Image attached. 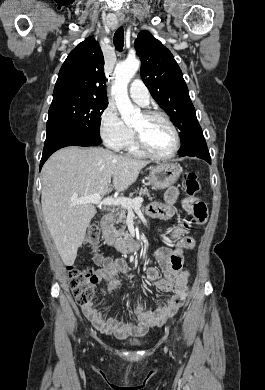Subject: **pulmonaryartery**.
I'll list each match as a JSON object with an SVG mask.
<instances>
[{
  "mask_svg": "<svg viewBox=\"0 0 265 390\" xmlns=\"http://www.w3.org/2000/svg\"><path fill=\"white\" fill-rule=\"evenodd\" d=\"M130 97L141 106H147L150 101V94L145 84L140 79H134L129 88Z\"/></svg>",
  "mask_w": 265,
  "mask_h": 390,
  "instance_id": "1",
  "label": "pulmonary artery"
}]
</instances>
